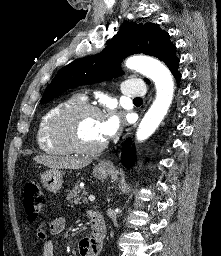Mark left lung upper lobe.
Listing matches in <instances>:
<instances>
[{"instance_id":"left-lung-upper-lobe-1","label":"left lung upper lobe","mask_w":221,"mask_h":256,"mask_svg":"<svg viewBox=\"0 0 221 256\" xmlns=\"http://www.w3.org/2000/svg\"><path fill=\"white\" fill-rule=\"evenodd\" d=\"M143 53L162 60L171 72L179 59L169 34L157 24L124 23L119 32L99 54L84 57L64 66L46 88L41 103H46L70 88L101 82L122 73L121 61L129 55ZM149 84V80L145 79Z\"/></svg>"}]
</instances>
